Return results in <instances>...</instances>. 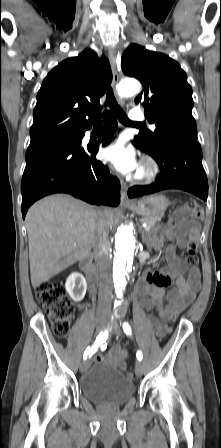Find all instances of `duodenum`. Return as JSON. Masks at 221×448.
<instances>
[{"instance_id": "duodenum-1", "label": "duodenum", "mask_w": 221, "mask_h": 448, "mask_svg": "<svg viewBox=\"0 0 221 448\" xmlns=\"http://www.w3.org/2000/svg\"><path fill=\"white\" fill-rule=\"evenodd\" d=\"M80 267H81V269H82L83 271L89 273V275L92 276V274H93V270H92V267H91V265H90V261H89V259H87V258L83 259V260L81 261V263H80ZM89 284H90V289H91V291L93 292L94 289H95V287H96V284H97L96 280H95L94 278H91V279L89 280Z\"/></svg>"}]
</instances>
